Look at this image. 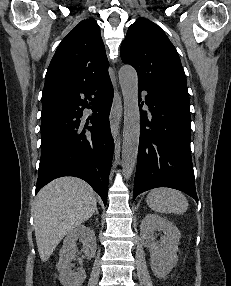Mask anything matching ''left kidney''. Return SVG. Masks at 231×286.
<instances>
[{
	"instance_id": "1",
	"label": "left kidney",
	"mask_w": 231,
	"mask_h": 286,
	"mask_svg": "<svg viewBox=\"0 0 231 286\" xmlns=\"http://www.w3.org/2000/svg\"><path fill=\"white\" fill-rule=\"evenodd\" d=\"M140 230L143 244L150 251L152 272L157 277L165 278L178 261L180 231L173 223L156 214H147L141 222ZM156 230L164 233L160 244L155 240Z\"/></svg>"
}]
</instances>
